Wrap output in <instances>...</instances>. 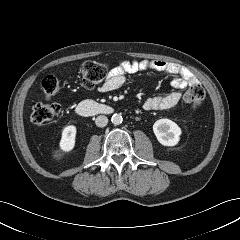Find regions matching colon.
Here are the masks:
<instances>
[{
	"label": "colon",
	"mask_w": 240,
	"mask_h": 240,
	"mask_svg": "<svg viewBox=\"0 0 240 240\" xmlns=\"http://www.w3.org/2000/svg\"><path fill=\"white\" fill-rule=\"evenodd\" d=\"M108 68L103 63L88 61L80 68V79L86 89H93L99 85L107 75ZM46 97H52L61 90V81L55 75H48L42 82ZM205 98V90L202 85L194 84L189 87L184 95V101L191 107L202 105ZM60 112V108L54 103H36L31 113V121L35 125H41L54 119Z\"/></svg>",
	"instance_id": "5ec220e1"
}]
</instances>
